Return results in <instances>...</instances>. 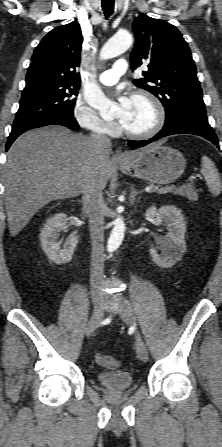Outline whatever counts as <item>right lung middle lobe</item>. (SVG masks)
I'll return each mask as SVG.
<instances>
[{
  "label": "right lung middle lobe",
  "mask_w": 222,
  "mask_h": 447,
  "mask_svg": "<svg viewBox=\"0 0 222 447\" xmlns=\"http://www.w3.org/2000/svg\"><path fill=\"white\" fill-rule=\"evenodd\" d=\"M79 85H42L25 88L12 128L42 119L67 114L73 115Z\"/></svg>",
  "instance_id": "dd1d6c3e"
}]
</instances>
